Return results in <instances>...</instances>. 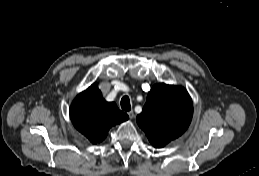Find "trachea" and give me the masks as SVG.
I'll list each match as a JSON object with an SVG mask.
<instances>
[{"instance_id":"obj_1","label":"trachea","mask_w":259,"mask_h":176,"mask_svg":"<svg viewBox=\"0 0 259 176\" xmlns=\"http://www.w3.org/2000/svg\"><path fill=\"white\" fill-rule=\"evenodd\" d=\"M121 108L125 111L131 110L130 99L128 96H123V98L121 99Z\"/></svg>"}]
</instances>
